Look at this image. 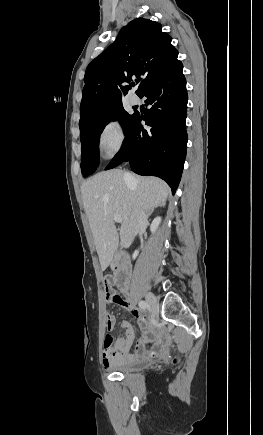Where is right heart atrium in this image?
Returning a JSON list of instances; mask_svg holds the SVG:
<instances>
[{
  "label": "right heart atrium",
  "instance_id": "obj_1",
  "mask_svg": "<svg viewBox=\"0 0 263 435\" xmlns=\"http://www.w3.org/2000/svg\"><path fill=\"white\" fill-rule=\"evenodd\" d=\"M126 139L123 123L115 118L102 126L98 135V149L104 159H111L122 149Z\"/></svg>",
  "mask_w": 263,
  "mask_h": 435
}]
</instances>
